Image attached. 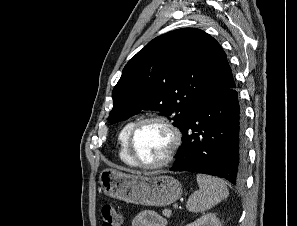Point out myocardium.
<instances>
[{
    "label": "myocardium",
    "instance_id": "obj_1",
    "mask_svg": "<svg viewBox=\"0 0 297 226\" xmlns=\"http://www.w3.org/2000/svg\"><path fill=\"white\" fill-rule=\"evenodd\" d=\"M150 122H155L163 125L171 134V143L166 155L161 160L155 163L148 164L138 159L133 148V142L138 129L142 125ZM181 143H182V133L179 127L171 119L162 115H150L137 120L133 124V126L131 127L128 133L126 145H127L128 154L136 166L143 169H159L169 165L173 161L175 155L177 154L181 146Z\"/></svg>",
    "mask_w": 297,
    "mask_h": 226
}]
</instances>
